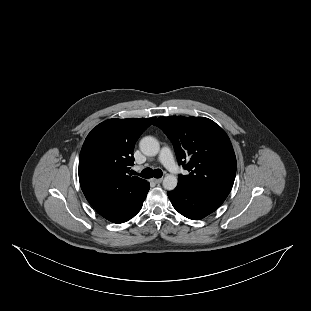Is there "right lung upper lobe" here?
Segmentation results:
<instances>
[{"mask_svg":"<svg viewBox=\"0 0 311 311\" xmlns=\"http://www.w3.org/2000/svg\"><path fill=\"white\" fill-rule=\"evenodd\" d=\"M154 119H109L84 141L79 157L80 186L92 207L111 222L125 217L149 185L129 172L134 165V145Z\"/></svg>","mask_w":311,"mask_h":311,"instance_id":"obj_1","label":"right lung upper lobe"}]
</instances>
